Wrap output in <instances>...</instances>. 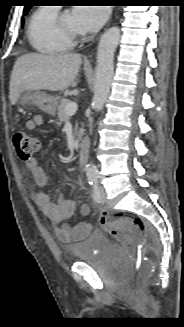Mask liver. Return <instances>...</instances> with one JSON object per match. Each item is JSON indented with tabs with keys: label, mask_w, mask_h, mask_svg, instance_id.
Segmentation results:
<instances>
[{
	"label": "liver",
	"mask_w": 184,
	"mask_h": 327,
	"mask_svg": "<svg viewBox=\"0 0 184 327\" xmlns=\"http://www.w3.org/2000/svg\"><path fill=\"white\" fill-rule=\"evenodd\" d=\"M82 58L79 54H37L20 56L11 74L9 99L15 105L24 91H63L75 87Z\"/></svg>",
	"instance_id": "1"
}]
</instances>
